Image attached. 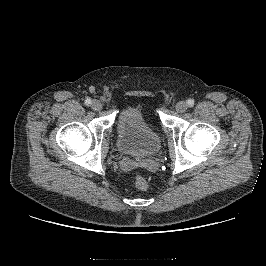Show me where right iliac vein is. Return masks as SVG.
<instances>
[{
	"instance_id": "1",
	"label": "right iliac vein",
	"mask_w": 266,
	"mask_h": 266,
	"mask_svg": "<svg viewBox=\"0 0 266 266\" xmlns=\"http://www.w3.org/2000/svg\"><path fill=\"white\" fill-rule=\"evenodd\" d=\"M91 107H92L93 110H95V111H99V110L102 109V104H101L100 101H98V100H94V101L92 102V104H91Z\"/></svg>"
}]
</instances>
